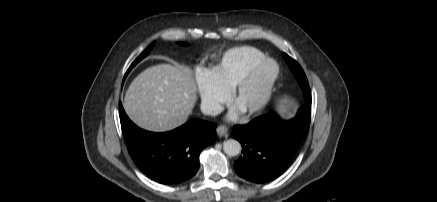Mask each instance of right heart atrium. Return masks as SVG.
<instances>
[{
    "instance_id": "obj_1",
    "label": "right heart atrium",
    "mask_w": 437,
    "mask_h": 202,
    "mask_svg": "<svg viewBox=\"0 0 437 202\" xmlns=\"http://www.w3.org/2000/svg\"><path fill=\"white\" fill-rule=\"evenodd\" d=\"M196 83L204 111L211 115L217 114L228 101L229 91L220 84L211 71L205 68L197 71Z\"/></svg>"
}]
</instances>
